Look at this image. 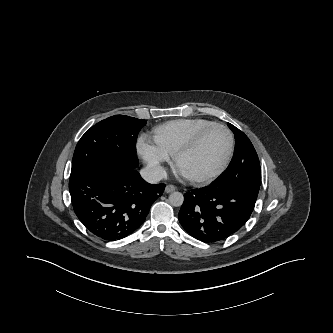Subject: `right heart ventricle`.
I'll list each match as a JSON object with an SVG mask.
<instances>
[{
    "label": "right heart ventricle",
    "mask_w": 333,
    "mask_h": 333,
    "mask_svg": "<svg viewBox=\"0 0 333 333\" xmlns=\"http://www.w3.org/2000/svg\"><path fill=\"white\" fill-rule=\"evenodd\" d=\"M214 124L204 118L177 119L157 126L153 130V140L162 151L174 155L199 131Z\"/></svg>",
    "instance_id": "right-heart-ventricle-1"
}]
</instances>
